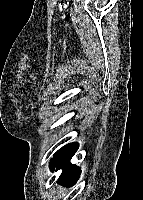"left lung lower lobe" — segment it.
<instances>
[{
  "label": "left lung lower lobe",
  "instance_id": "left-lung-lower-lobe-1",
  "mask_svg": "<svg viewBox=\"0 0 143 200\" xmlns=\"http://www.w3.org/2000/svg\"><path fill=\"white\" fill-rule=\"evenodd\" d=\"M78 147L79 145L77 143L68 144L58 150L50 160L51 171H54L55 169L57 171L63 168L58 183L66 186H73L77 182L81 173L80 168L69 164V161L77 151Z\"/></svg>",
  "mask_w": 143,
  "mask_h": 200
}]
</instances>
